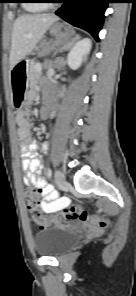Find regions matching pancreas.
Masks as SVG:
<instances>
[{
  "instance_id": "pancreas-1",
  "label": "pancreas",
  "mask_w": 136,
  "mask_h": 296,
  "mask_svg": "<svg viewBox=\"0 0 136 296\" xmlns=\"http://www.w3.org/2000/svg\"><path fill=\"white\" fill-rule=\"evenodd\" d=\"M39 64L38 63H35V62H31L30 63V67H29V75L33 78H36L40 75V72H38L36 70V67L38 66Z\"/></svg>"
}]
</instances>
